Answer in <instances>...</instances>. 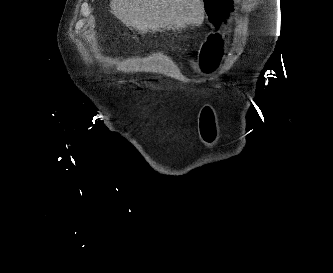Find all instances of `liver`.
Masks as SVG:
<instances>
[{
	"label": "liver",
	"instance_id": "liver-1",
	"mask_svg": "<svg viewBox=\"0 0 333 273\" xmlns=\"http://www.w3.org/2000/svg\"><path fill=\"white\" fill-rule=\"evenodd\" d=\"M112 14L141 33L182 30L204 21L203 0H112Z\"/></svg>",
	"mask_w": 333,
	"mask_h": 273
}]
</instances>
